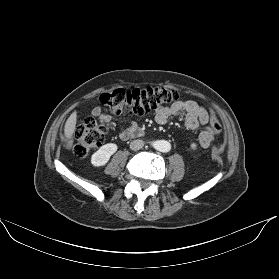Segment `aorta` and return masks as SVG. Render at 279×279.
I'll list each match as a JSON object with an SVG mask.
<instances>
[{
    "label": "aorta",
    "instance_id": "aorta-1",
    "mask_svg": "<svg viewBox=\"0 0 279 279\" xmlns=\"http://www.w3.org/2000/svg\"><path fill=\"white\" fill-rule=\"evenodd\" d=\"M153 145L160 152H169L171 150V144L166 140L155 141Z\"/></svg>",
    "mask_w": 279,
    "mask_h": 279
}]
</instances>
